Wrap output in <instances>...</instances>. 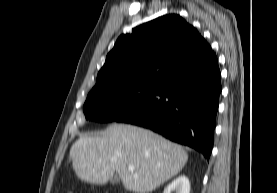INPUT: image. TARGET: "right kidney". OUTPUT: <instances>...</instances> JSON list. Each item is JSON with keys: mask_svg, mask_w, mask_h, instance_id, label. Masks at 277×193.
<instances>
[{"mask_svg": "<svg viewBox=\"0 0 277 193\" xmlns=\"http://www.w3.org/2000/svg\"><path fill=\"white\" fill-rule=\"evenodd\" d=\"M190 193V182L185 175L176 178L167 186L163 193Z\"/></svg>", "mask_w": 277, "mask_h": 193, "instance_id": "ca27d5eb", "label": "right kidney"}]
</instances>
